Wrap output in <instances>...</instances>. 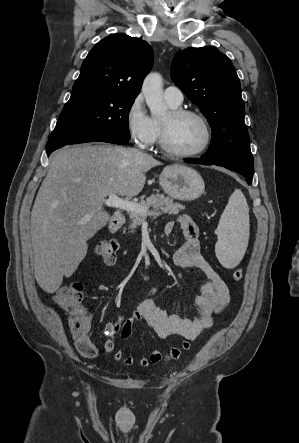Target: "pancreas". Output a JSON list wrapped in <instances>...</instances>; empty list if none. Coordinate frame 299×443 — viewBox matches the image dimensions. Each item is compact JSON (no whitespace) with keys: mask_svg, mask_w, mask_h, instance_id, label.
Segmentation results:
<instances>
[{"mask_svg":"<svg viewBox=\"0 0 299 443\" xmlns=\"http://www.w3.org/2000/svg\"><path fill=\"white\" fill-rule=\"evenodd\" d=\"M140 207L144 208L147 212L149 208L154 209L155 211H162L163 213H168L169 215H176L183 210L185 206L180 203H174L173 199L164 197L163 195H154L152 194L146 200H141L138 204ZM129 217L131 219V224L129 228L133 233L137 226L141 225L146 219V215H142L136 212H129Z\"/></svg>","mask_w":299,"mask_h":443,"instance_id":"obj_1","label":"pancreas"}]
</instances>
